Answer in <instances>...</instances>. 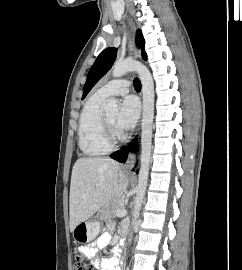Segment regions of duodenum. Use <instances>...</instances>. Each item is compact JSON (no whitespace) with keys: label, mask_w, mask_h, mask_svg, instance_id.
I'll use <instances>...</instances> for the list:
<instances>
[{"label":"duodenum","mask_w":242,"mask_h":270,"mask_svg":"<svg viewBox=\"0 0 242 270\" xmlns=\"http://www.w3.org/2000/svg\"><path fill=\"white\" fill-rule=\"evenodd\" d=\"M127 236V227L125 226L123 228V232H122V238L124 239Z\"/></svg>","instance_id":"1"}]
</instances>
